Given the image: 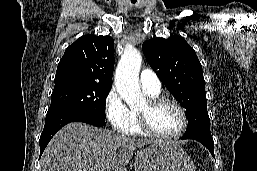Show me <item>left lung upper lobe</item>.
<instances>
[{
    "label": "left lung upper lobe",
    "mask_w": 257,
    "mask_h": 171,
    "mask_svg": "<svg viewBox=\"0 0 257 171\" xmlns=\"http://www.w3.org/2000/svg\"><path fill=\"white\" fill-rule=\"evenodd\" d=\"M142 49L159 79L186 109L184 136H211L202 66L194 49L178 35L153 38Z\"/></svg>",
    "instance_id": "1"
}]
</instances>
